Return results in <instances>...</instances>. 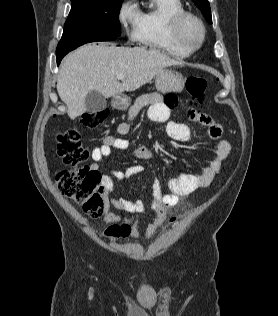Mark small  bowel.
I'll list each match as a JSON object with an SVG mask.
<instances>
[{
  "instance_id": "c3829d8e",
  "label": "small bowel",
  "mask_w": 278,
  "mask_h": 316,
  "mask_svg": "<svg viewBox=\"0 0 278 316\" xmlns=\"http://www.w3.org/2000/svg\"><path fill=\"white\" fill-rule=\"evenodd\" d=\"M178 100L173 95H168L165 99L158 93H148L140 96L130 107L128 119L119 124L117 132L124 136L130 132L131 122L137 117L139 112L148 108V117L155 122H167V133L175 140L187 142L191 139L190 128L180 122L169 121L170 112L177 106ZM189 120L199 123L208 129L209 137L215 141L214 156L208 166L203 168L201 174H181L169 180V193L163 194L161 185L157 179L152 182V193L150 208L155 212V217L144 229V236L148 239L153 236L159 226H161L168 216V208L176 206L182 197L187 196L198 189L208 187L214 177L220 172L223 161L230 153V143L222 137L223 127L210 115L197 111L194 108L188 110ZM130 147V142L122 137L108 135L104 138L103 144L91 150L93 163L90 169L99 172L100 165L105 163L112 151L125 150ZM133 156L140 160H150L153 158V151L146 146L136 147ZM144 167L133 165L124 171H115L113 175L118 179H128L141 174ZM101 183L106 190V206H113L116 210L131 214L132 217L123 216L117 212L106 211L104 221L109 226L101 231L106 238L113 240H123L137 238L141 231L139 214L146 209L145 203L141 199L135 201L122 197H114V182L112 176L103 174Z\"/></svg>"
}]
</instances>
